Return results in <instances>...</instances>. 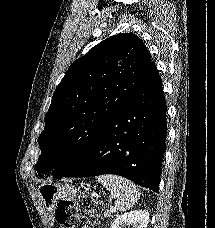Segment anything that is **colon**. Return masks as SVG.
I'll list each match as a JSON object with an SVG mask.
<instances>
[{
	"mask_svg": "<svg viewBox=\"0 0 215 228\" xmlns=\"http://www.w3.org/2000/svg\"><path fill=\"white\" fill-rule=\"evenodd\" d=\"M81 212L96 218L103 214L104 205L92 195H81L76 204L60 200L55 208L56 219L65 228H98L95 221H90Z\"/></svg>",
	"mask_w": 215,
	"mask_h": 228,
	"instance_id": "obj_1",
	"label": "colon"
}]
</instances>
